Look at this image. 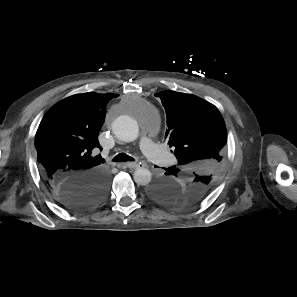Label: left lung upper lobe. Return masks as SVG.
Returning <instances> with one entry per match:
<instances>
[{"mask_svg": "<svg viewBox=\"0 0 297 297\" xmlns=\"http://www.w3.org/2000/svg\"><path fill=\"white\" fill-rule=\"evenodd\" d=\"M166 110L165 138L178 160L149 186L154 201L172 208H188L211 190L224 166L226 126L219 110L191 94L162 91Z\"/></svg>", "mask_w": 297, "mask_h": 297, "instance_id": "left-lung-upper-lobe-1", "label": "left lung upper lobe"}]
</instances>
